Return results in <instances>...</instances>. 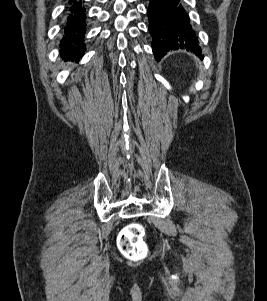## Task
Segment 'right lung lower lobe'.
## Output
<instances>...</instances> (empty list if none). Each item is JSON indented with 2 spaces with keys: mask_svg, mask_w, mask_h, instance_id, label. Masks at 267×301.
Segmentation results:
<instances>
[{
  "mask_svg": "<svg viewBox=\"0 0 267 301\" xmlns=\"http://www.w3.org/2000/svg\"><path fill=\"white\" fill-rule=\"evenodd\" d=\"M86 10L82 0H69L63 25V36L60 41L63 59L72 61L83 56L85 51L84 36L86 33Z\"/></svg>",
  "mask_w": 267,
  "mask_h": 301,
  "instance_id": "1",
  "label": "right lung lower lobe"
}]
</instances>
